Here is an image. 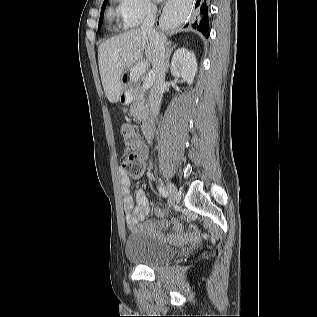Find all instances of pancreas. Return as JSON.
Listing matches in <instances>:
<instances>
[{"mask_svg":"<svg viewBox=\"0 0 317 317\" xmlns=\"http://www.w3.org/2000/svg\"><path fill=\"white\" fill-rule=\"evenodd\" d=\"M130 94L133 97L132 105L130 106V113L142 121L146 115L147 105L145 102V89L143 87H132Z\"/></svg>","mask_w":317,"mask_h":317,"instance_id":"1","label":"pancreas"}]
</instances>
